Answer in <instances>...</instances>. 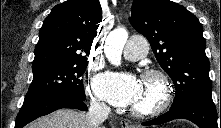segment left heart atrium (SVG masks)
<instances>
[{
    "label": "left heart atrium",
    "mask_w": 221,
    "mask_h": 128,
    "mask_svg": "<svg viewBox=\"0 0 221 128\" xmlns=\"http://www.w3.org/2000/svg\"><path fill=\"white\" fill-rule=\"evenodd\" d=\"M142 82L131 74H105L96 81L98 93L117 106H132L138 97Z\"/></svg>",
    "instance_id": "obj_1"
}]
</instances>
